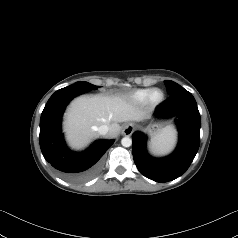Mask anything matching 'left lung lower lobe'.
Here are the masks:
<instances>
[{"label": "left lung lower lobe", "instance_id": "left-lung-lower-lobe-1", "mask_svg": "<svg viewBox=\"0 0 238 238\" xmlns=\"http://www.w3.org/2000/svg\"><path fill=\"white\" fill-rule=\"evenodd\" d=\"M157 118L175 117L179 142L175 151L164 158L152 157L146 149L147 137L140 131L132 134L133 158L142 175L156 181H172L188 169L200 145V113L192 94L184 88L155 109Z\"/></svg>", "mask_w": 238, "mask_h": 238}]
</instances>
